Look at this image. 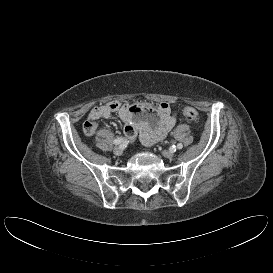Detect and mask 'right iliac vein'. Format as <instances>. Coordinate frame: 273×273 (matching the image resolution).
I'll return each instance as SVG.
<instances>
[{
	"instance_id": "63e3f726",
	"label": "right iliac vein",
	"mask_w": 273,
	"mask_h": 273,
	"mask_svg": "<svg viewBox=\"0 0 273 273\" xmlns=\"http://www.w3.org/2000/svg\"><path fill=\"white\" fill-rule=\"evenodd\" d=\"M113 153L117 156L121 155L123 153V149L121 146H117L114 148Z\"/></svg>"
}]
</instances>
